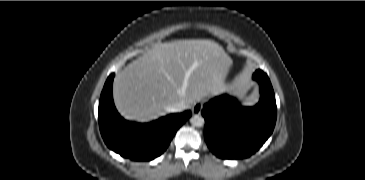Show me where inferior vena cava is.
Segmentation results:
<instances>
[{"label": "inferior vena cava", "instance_id": "obj_1", "mask_svg": "<svg viewBox=\"0 0 365 180\" xmlns=\"http://www.w3.org/2000/svg\"><path fill=\"white\" fill-rule=\"evenodd\" d=\"M185 109H187V106L183 101H181V102L175 104L174 106L170 107L169 111H171V112H181Z\"/></svg>", "mask_w": 365, "mask_h": 180}]
</instances>
